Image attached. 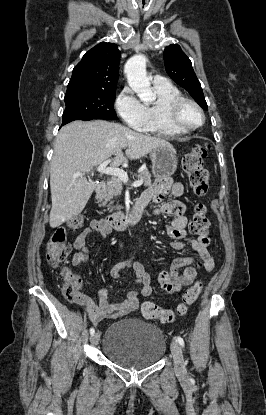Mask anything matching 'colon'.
Instances as JSON below:
<instances>
[{
	"label": "colon",
	"instance_id": "obj_1",
	"mask_svg": "<svg viewBox=\"0 0 266 415\" xmlns=\"http://www.w3.org/2000/svg\"><path fill=\"white\" fill-rule=\"evenodd\" d=\"M208 149L206 144L196 145L185 154L182 160V168L188 176L189 184L194 193L199 197L205 196L209 188V175L203 166ZM83 222L84 219L81 215L73 216L68 220L67 228L73 231L79 230ZM209 226L205 207L197 205L189 224L190 233L199 237H205L208 235ZM70 252L71 245L67 241L66 230L64 228L57 229L46 246L47 260L50 264L57 267L65 261ZM62 276L64 278L63 294L66 299L73 301L78 293L74 273L64 268ZM201 292L202 283L196 282L183 294L182 300L175 311L163 309L152 302H145L140 306V312L147 319H159L163 323H171L177 317H182L187 313L188 308L197 300Z\"/></svg>",
	"mask_w": 266,
	"mask_h": 415
}]
</instances>
